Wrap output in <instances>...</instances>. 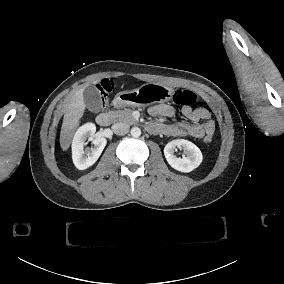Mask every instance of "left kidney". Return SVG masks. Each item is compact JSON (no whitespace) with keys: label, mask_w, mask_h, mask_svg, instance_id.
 I'll use <instances>...</instances> for the list:
<instances>
[{"label":"left kidney","mask_w":284,"mask_h":284,"mask_svg":"<svg viewBox=\"0 0 284 284\" xmlns=\"http://www.w3.org/2000/svg\"><path fill=\"white\" fill-rule=\"evenodd\" d=\"M176 147H182L187 156L176 157L174 155ZM165 159L175 170L182 173H189L196 169L203 160L200 149L192 142L185 139H177L168 143L164 148Z\"/></svg>","instance_id":"5707ae66"}]
</instances>
